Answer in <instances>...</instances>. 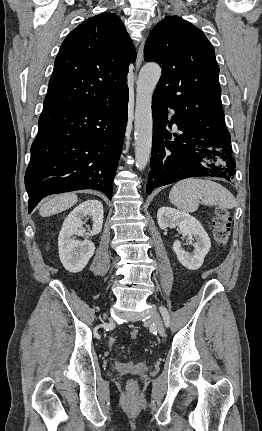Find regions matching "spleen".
I'll list each match as a JSON object with an SVG mask.
<instances>
[{
    "mask_svg": "<svg viewBox=\"0 0 262 431\" xmlns=\"http://www.w3.org/2000/svg\"><path fill=\"white\" fill-rule=\"evenodd\" d=\"M171 203L188 213L195 212L200 203L232 209L236 206L233 194L219 183L200 178H188L177 182L169 194Z\"/></svg>",
    "mask_w": 262,
    "mask_h": 431,
    "instance_id": "spleen-1",
    "label": "spleen"
}]
</instances>
